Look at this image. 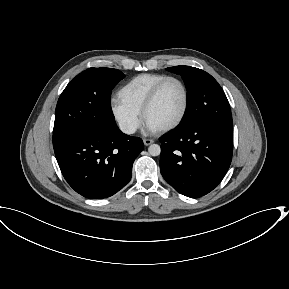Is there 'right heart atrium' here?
<instances>
[{
  "instance_id": "1",
  "label": "right heart atrium",
  "mask_w": 289,
  "mask_h": 289,
  "mask_svg": "<svg viewBox=\"0 0 289 289\" xmlns=\"http://www.w3.org/2000/svg\"><path fill=\"white\" fill-rule=\"evenodd\" d=\"M111 113L120 129L126 134H133L141 123L140 114L129 109L117 100L111 102Z\"/></svg>"
}]
</instances>
